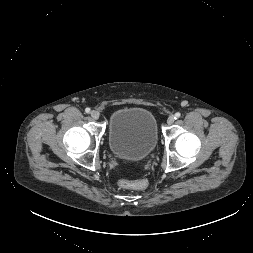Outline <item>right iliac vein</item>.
<instances>
[{"label": "right iliac vein", "mask_w": 253, "mask_h": 253, "mask_svg": "<svg viewBox=\"0 0 253 253\" xmlns=\"http://www.w3.org/2000/svg\"><path fill=\"white\" fill-rule=\"evenodd\" d=\"M90 115L94 120H97L99 118V113L95 110L91 111Z\"/></svg>", "instance_id": "obj_1"}]
</instances>
